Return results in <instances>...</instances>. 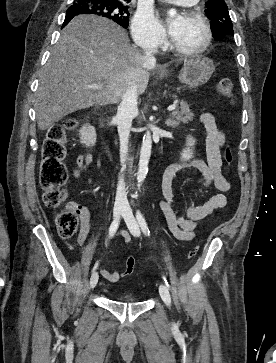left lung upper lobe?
Instances as JSON below:
<instances>
[{"label": "left lung upper lobe", "mask_w": 276, "mask_h": 363, "mask_svg": "<svg viewBox=\"0 0 276 363\" xmlns=\"http://www.w3.org/2000/svg\"><path fill=\"white\" fill-rule=\"evenodd\" d=\"M205 13L211 20V31L217 40L225 36H233V24L229 16L228 7L224 0H208Z\"/></svg>", "instance_id": "1"}]
</instances>
